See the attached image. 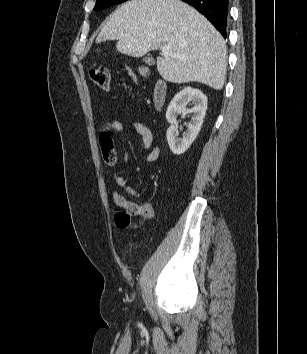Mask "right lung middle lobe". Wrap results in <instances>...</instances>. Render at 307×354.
<instances>
[{"label": "right lung middle lobe", "mask_w": 307, "mask_h": 354, "mask_svg": "<svg viewBox=\"0 0 307 354\" xmlns=\"http://www.w3.org/2000/svg\"><path fill=\"white\" fill-rule=\"evenodd\" d=\"M127 0H96V5L94 7V10H102L107 7L116 5L118 3L125 2Z\"/></svg>", "instance_id": "right-lung-middle-lobe-1"}]
</instances>
